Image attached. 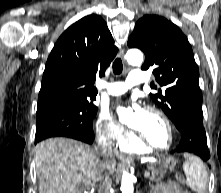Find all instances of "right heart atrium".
Returning <instances> with one entry per match:
<instances>
[{
  "label": "right heart atrium",
  "instance_id": "d8ad5b80",
  "mask_svg": "<svg viewBox=\"0 0 221 193\" xmlns=\"http://www.w3.org/2000/svg\"><path fill=\"white\" fill-rule=\"evenodd\" d=\"M95 130L98 138L105 143L117 145L126 139L127 130L125 127L115 120L108 112L99 113Z\"/></svg>",
  "mask_w": 221,
  "mask_h": 193
}]
</instances>
